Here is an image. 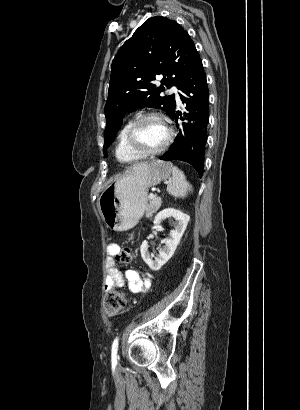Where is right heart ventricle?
<instances>
[{
	"instance_id": "obj_1",
	"label": "right heart ventricle",
	"mask_w": 300,
	"mask_h": 410,
	"mask_svg": "<svg viewBox=\"0 0 300 410\" xmlns=\"http://www.w3.org/2000/svg\"><path fill=\"white\" fill-rule=\"evenodd\" d=\"M132 120L126 122L120 129L117 140H116V149L115 154L118 160L121 162L132 163L141 160L143 157L134 153L126 143V132L131 124Z\"/></svg>"
}]
</instances>
